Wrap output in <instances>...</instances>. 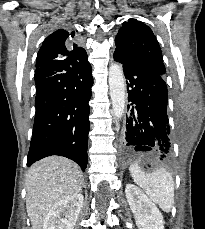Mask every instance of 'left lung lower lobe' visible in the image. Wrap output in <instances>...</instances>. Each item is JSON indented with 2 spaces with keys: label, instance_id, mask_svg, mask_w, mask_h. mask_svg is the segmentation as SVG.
<instances>
[{
  "label": "left lung lower lobe",
  "instance_id": "obj_1",
  "mask_svg": "<svg viewBox=\"0 0 205 229\" xmlns=\"http://www.w3.org/2000/svg\"><path fill=\"white\" fill-rule=\"evenodd\" d=\"M114 60L123 65L128 89L123 153L126 157L147 151L158 160L171 156L167 117L168 94L164 77L115 51Z\"/></svg>",
  "mask_w": 205,
  "mask_h": 229
}]
</instances>
